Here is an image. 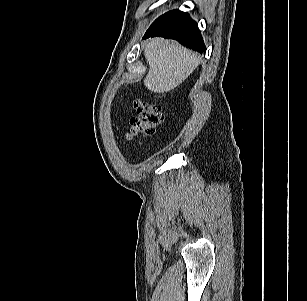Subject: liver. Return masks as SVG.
Masks as SVG:
<instances>
[{"instance_id":"6515ba94","label":"liver","mask_w":307,"mask_h":301,"mask_svg":"<svg viewBox=\"0 0 307 301\" xmlns=\"http://www.w3.org/2000/svg\"><path fill=\"white\" fill-rule=\"evenodd\" d=\"M149 65L144 85L154 93H164L180 85L195 70L200 57L177 42L153 38L144 45Z\"/></svg>"}]
</instances>
